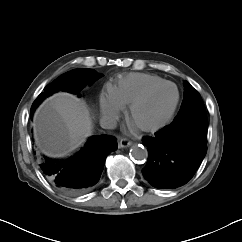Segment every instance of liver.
Instances as JSON below:
<instances>
[{
	"instance_id": "6515ba94",
	"label": "liver",
	"mask_w": 242,
	"mask_h": 242,
	"mask_svg": "<svg viewBox=\"0 0 242 242\" xmlns=\"http://www.w3.org/2000/svg\"><path fill=\"white\" fill-rule=\"evenodd\" d=\"M34 134L41 148L56 156L66 155L83 144L92 123L86 106L75 96L57 93L34 115Z\"/></svg>"
}]
</instances>
